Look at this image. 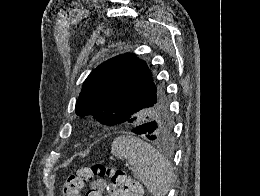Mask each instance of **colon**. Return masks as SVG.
I'll return each instance as SVG.
<instances>
[{
	"label": "colon",
	"mask_w": 260,
	"mask_h": 196,
	"mask_svg": "<svg viewBox=\"0 0 260 196\" xmlns=\"http://www.w3.org/2000/svg\"><path fill=\"white\" fill-rule=\"evenodd\" d=\"M108 180L111 186L119 191L130 188L132 182L122 169H109L102 164L84 166L75 173H70L64 180L62 196H81L84 185L91 181Z\"/></svg>",
	"instance_id": "obj_1"
}]
</instances>
